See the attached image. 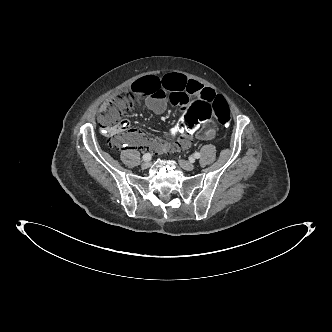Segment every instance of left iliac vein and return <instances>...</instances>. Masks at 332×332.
<instances>
[{
    "instance_id": "4c4485c4",
    "label": "left iliac vein",
    "mask_w": 332,
    "mask_h": 332,
    "mask_svg": "<svg viewBox=\"0 0 332 332\" xmlns=\"http://www.w3.org/2000/svg\"><path fill=\"white\" fill-rule=\"evenodd\" d=\"M179 164L186 171H192L195 168V166L191 162L183 160V159L179 160Z\"/></svg>"
}]
</instances>
